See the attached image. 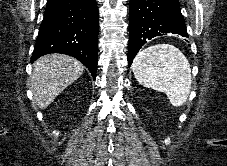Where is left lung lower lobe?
<instances>
[{"mask_svg": "<svg viewBox=\"0 0 227 166\" xmlns=\"http://www.w3.org/2000/svg\"><path fill=\"white\" fill-rule=\"evenodd\" d=\"M165 33L188 37L178 0H130L128 66L148 40Z\"/></svg>", "mask_w": 227, "mask_h": 166, "instance_id": "obj_1", "label": "left lung lower lobe"}]
</instances>
